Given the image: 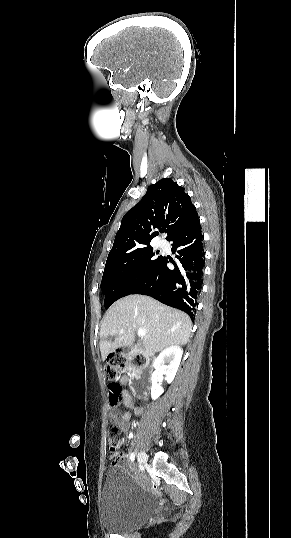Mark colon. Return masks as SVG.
Masks as SVG:
<instances>
[{"label":"colon","instance_id":"colon-1","mask_svg":"<svg viewBox=\"0 0 291 538\" xmlns=\"http://www.w3.org/2000/svg\"><path fill=\"white\" fill-rule=\"evenodd\" d=\"M146 355L144 353H137L131 356L130 361L137 369L141 368V365L144 364L146 360ZM128 365L127 358L120 352H114L108 355L106 360L105 373L106 377L109 380L108 391H109V404L111 407H115L120 403V391L121 387L117 382L121 373L126 369ZM125 439V434L122 429L117 425L113 424L108 430V445L112 456H116L119 447L122 445ZM117 461L114 460L112 465H116Z\"/></svg>","mask_w":291,"mask_h":538}]
</instances>
